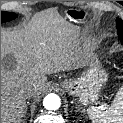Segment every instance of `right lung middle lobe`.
Masks as SVG:
<instances>
[{
  "mask_svg": "<svg viewBox=\"0 0 123 123\" xmlns=\"http://www.w3.org/2000/svg\"><path fill=\"white\" fill-rule=\"evenodd\" d=\"M17 15L15 13L1 11V23L11 21L15 19Z\"/></svg>",
  "mask_w": 123,
  "mask_h": 123,
  "instance_id": "obj_1",
  "label": "right lung middle lobe"
}]
</instances>
